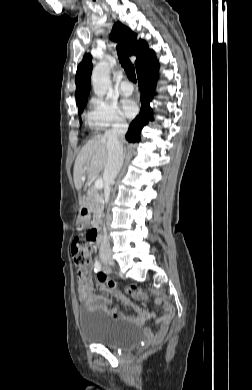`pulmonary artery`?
I'll use <instances>...</instances> for the list:
<instances>
[{
  "instance_id": "pulmonary-artery-1",
  "label": "pulmonary artery",
  "mask_w": 252,
  "mask_h": 390,
  "mask_svg": "<svg viewBox=\"0 0 252 390\" xmlns=\"http://www.w3.org/2000/svg\"><path fill=\"white\" fill-rule=\"evenodd\" d=\"M120 90L123 95H131L133 92V85L128 81H123L120 85Z\"/></svg>"
}]
</instances>
